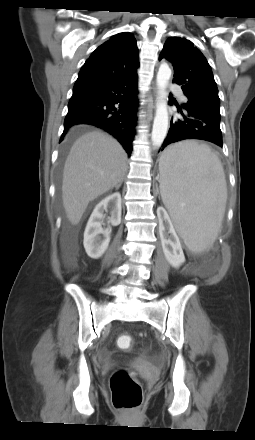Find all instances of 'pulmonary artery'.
I'll use <instances>...</instances> for the list:
<instances>
[{
	"label": "pulmonary artery",
	"mask_w": 255,
	"mask_h": 440,
	"mask_svg": "<svg viewBox=\"0 0 255 440\" xmlns=\"http://www.w3.org/2000/svg\"><path fill=\"white\" fill-rule=\"evenodd\" d=\"M170 91L173 92V93H175V94L180 95L181 100H182L183 102L186 101V97L182 95L181 88H180L178 85H176V84L171 85V86H170Z\"/></svg>",
	"instance_id": "e3ab8cb5"
}]
</instances>
